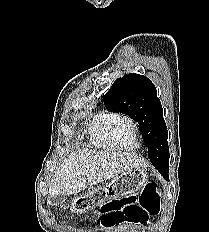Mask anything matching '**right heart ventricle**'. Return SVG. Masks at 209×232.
I'll use <instances>...</instances> for the list:
<instances>
[{
  "mask_svg": "<svg viewBox=\"0 0 209 232\" xmlns=\"http://www.w3.org/2000/svg\"><path fill=\"white\" fill-rule=\"evenodd\" d=\"M120 116V114L113 111H101L98 113L90 128V140L92 144L104 150H117L118 147L113 143L110 137V126ZM134 146L131 150L138 148L136 138L133 139Z\"/></svg>",
  "mask_w": 209,
  "mask_h": 232,
  "instance_id": "1",
  "label": "right heart ventricle"
}]
</instances>
